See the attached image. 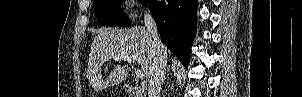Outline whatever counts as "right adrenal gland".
<instances>
[{
	"label": "right adrenal gland",
	"mask_w": 302,
	"mask_h": 97,
	"mask_svg": "<svg viewBox=\"0 0 302 97\" xmlns=\"http://www.w3.org/2000/svg\"><path fill=\"white\" fill-rule=\"evenodd\" d=\"M166 77H165V73H164V76H163V79H162V83H164Z\"/></svg>",
	"instance_id": "right-adrenal-gland-1"
}]
</instances>
